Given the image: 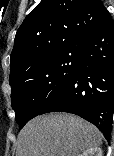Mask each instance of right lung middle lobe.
Wrapping results in <instances>:
<instances>
[{
  "instance_id": "right-lung-middle-lobe-1",
  "label": "right lung middle lobe",
  "mask_w": 114,
  "mask_h": 156,
  "mask_svg": "<svg viewBox=\"0 0 114 156\" xmlns=\"http://www.w3.org/2000/svg\"><path fill=\"white\" fill-rule=\"evenodd\" d=\"M81 59V49L75 46L36 63L10 82L12 107L20 128L39 115L65 89Z\"/></svg>"
}]
</instances>
